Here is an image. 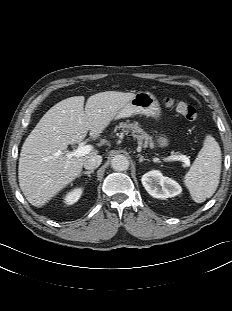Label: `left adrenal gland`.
I'll return each instance as SVG.
<instances>
[{
    "label": "left adrenal gland",
    "instance_id": "left-adrenal-gland-1",
    "mask_svg": "<svg viewBox=\"0 0 232 311\" xmlns=\"http://www.w3.org/2000/svg\"><path fill=\"white\" fill-rule=\"evenodd\" d=\"M138 157H139V162H143L145 160H148V159H145L141 154H138Z\"/></svg>",
    "mask_w": 232,
    "mask_h": 311
}]
</instances>
